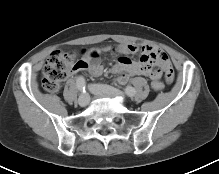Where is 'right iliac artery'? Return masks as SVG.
Listing matches in <instances>:
<instances>
[{
	"label": "right iliac artery",
	"mask_w": 219,
	"mask_h": 174,
	"mask_svg": "<svg viewBox=\"0 0 219 174\" xmlns=\"http://www.w3.org/2000/svg\"><path fill=\"white\" fill-rule=\"evenodd\" d=\"M76 86H77L79 91H81L83 93L86 92V82H85V79L83 77L77 78Z\"/></svg>",
	"instance_id": "right-iliac-artery-1"
}]
</instances>
